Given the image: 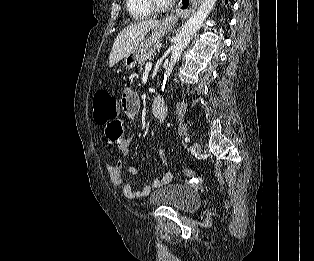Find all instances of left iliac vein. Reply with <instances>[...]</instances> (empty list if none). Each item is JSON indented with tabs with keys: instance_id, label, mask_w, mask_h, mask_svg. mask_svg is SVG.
<instances>
[{
	"instance_id": "1",
	"label": "left iliac vein",
	"mask_w": 314,
	"mask_h": 261,
	"mask_svg": "<svg viewBox=\"0 0 314 261\" xmlns=\"http://www.w3.org/2000/svg\"><path fill=\"white\" fill-rule=\"evenodd\" d=\"M193 151L196 154L201 152V145L198 142L193 143Z\"/></svg>"
}]
</instances>
